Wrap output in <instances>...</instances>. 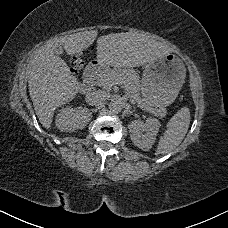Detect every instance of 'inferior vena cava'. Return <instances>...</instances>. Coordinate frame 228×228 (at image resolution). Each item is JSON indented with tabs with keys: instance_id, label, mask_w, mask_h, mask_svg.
I'll use <instances>...</instances> for the list:
<instances>
[{
	"instance_id": "602c4592",
	"label": "inferior vena cava",
	"mask_w": 228,
	"mask_h": 228,
	"mask_svg": "<svg viewBox=\"0 0 228 228\" xmlns=\"http://www.w3.org/2000/svg\"><path fill=\"white\" fill-rule=\"evenodd\" d=\"M109 98H110V95L107 91H103V90L93 91L86 96V103L92 106H101Z\"/></svg>"
}]
</instances>
